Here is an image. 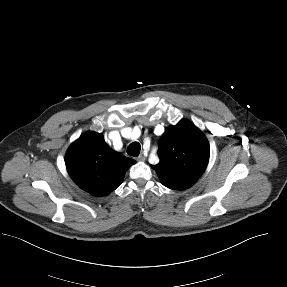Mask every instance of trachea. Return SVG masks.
I'll use <instances>...</instances> for the list:
<instances>
[{
  "label": "trachea",
  "instance_id": "1",
  "mask_svg": "<svg viewBox=\"0 0 287 287\" xmlns=\"http://www.w3.org/2000/svg\"><path fill=\"white\" fill-rule=\"evenodd\" d=\"M141 146L138 142L131 143L127 148V154L130 156H138L140 153Z\"/></svg>",
  "mask_w": 287,
  "mask_h": 287
}]
</instances>
